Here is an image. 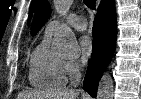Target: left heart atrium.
<instances>
[{"label": "left heart atrium", "instance_id": "left-heart-atrium-1", "mask_svg": "<svg viewBox=\"0 0 141 99\" xmlns=\"http://www.w3.org/2000/svg\"><path fill=\"white\" fill-rule=\"evenodd\" d=\"M79 47L83 59H88L93 52L94 43L92 37L84 35L79 40Z\"/></svg>", "mask_w": 141, "mask_h": 99}]
</instances>
